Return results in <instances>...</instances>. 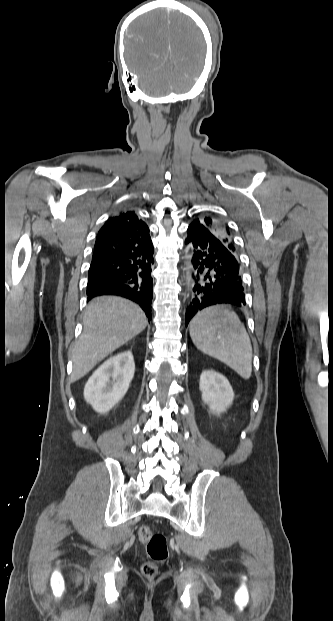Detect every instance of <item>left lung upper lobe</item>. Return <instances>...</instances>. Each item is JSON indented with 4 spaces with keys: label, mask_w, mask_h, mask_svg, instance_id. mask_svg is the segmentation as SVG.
<instances>
[{
    "label": "left lung upper lobe",
    "mask_w": 333,
    "mask_h": 621,
    "mask_svg": "<svg viewBox=\"0 0 333 621\" xmlns=\"http://www.w3.org/2000/svg\"><path fill=\"white\" fill-rule=\"evenodd\" d=\"M191 224L196 227L203 226L209 229L222 242V244L226 246L228 249H230L231 251H233L234 254L237 256V258L239 259L238 251L236 249L233 236L231 232L229 231L228 226L223 220L218 219L216 217L207 216L200 220L195 219L193 220Z\"/></svg>",
    "instance_id": "1"
}]
</instances>
